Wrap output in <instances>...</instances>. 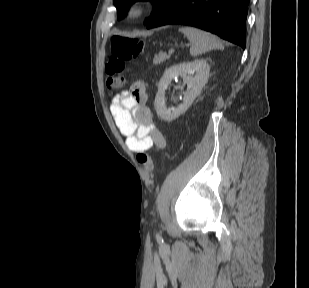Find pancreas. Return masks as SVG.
Wrapping results in <instances>:
<instances>
[{"mask_svg":"<svg viewBox=\"0 0 309 288\" xmlns=\"http://www.w3.org/2000/svg\"><path fill=\"white\" fill-rule=\"evenodd\" d=\"M169 55H167L166 53H160L158 55H155L154 59H153V63L154 64H161L164 61L169 59Z\"/></svg>","mask_w":309,"mask_h":288,"instance_id":"cf45deb5","label":"pancreas"}]
</instances>
